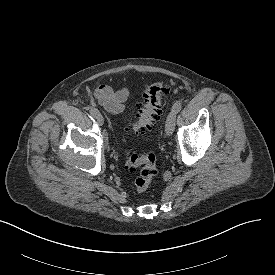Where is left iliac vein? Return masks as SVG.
<instances>
[{
  "mask_svg": "<svg viewBox=\"0 0 275 275\" xmlns=\"http://www.w3.org/2000/svg\"><path fill=\"white\" fill-rule=\"evenodd\" d=\"M175 122H176V113L175 112H170L167 119H166V124H165V131L167 135H171L175 129Z\"/></svg>",
  "mask_w": 275,
  "mask_h": 275,
  "instance_id": "1",
  "label": "left iliac vein"
}]
</instances>
